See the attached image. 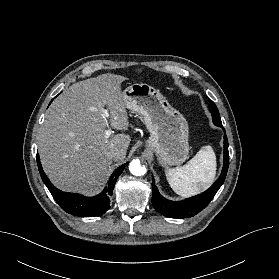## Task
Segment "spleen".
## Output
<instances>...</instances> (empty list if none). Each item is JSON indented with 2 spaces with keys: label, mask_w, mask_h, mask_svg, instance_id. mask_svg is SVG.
Returning <instances> with one entry per match:
<instances>
[{
  "label": "spleen",
  "mask_w": 279,
  "mask_h": 279,
  "mask_svg": "<svg viewBox=\"0 0 279 279\" xmlns=\"http://www.w3.org/2000/svg\"><path fill=\"white\" fill-rule=\"evenodd\" d=\"M165 174L171 188L187 197L208 187L216 174V156L211 146H203L184 166L166 168Z\"/></svg>",
  "instance_id": "obj_1"
}]
</instances>
